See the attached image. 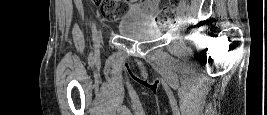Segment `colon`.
I'll list each match as a JSON object with an SVG mask.
<instances>
[{
	"label": "colon",
	"instance_id": "obj_1",
	"mask_svg": "<svg viewBox=\"0 0 267 115\" xmlns=\"http://www.w3.org/2000/svg\"><path fill=\"white\" fill-rule=\"evenodd\" d=\"M183 0H172L157 10L156 19L161 24H168L176 18V6ZM129 9L126 0H106L100 6V17L105 21H117L122 18Z\"/></svg>",
	"mask_w": 267,
	"mask_h": 115
}]
</instances>
